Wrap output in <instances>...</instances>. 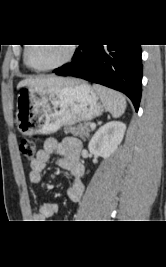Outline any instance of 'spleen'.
Returning <instances> with one entry per match:
<instances>
[{"mask_svg":"<svg viewBox=\"0 0 166 267\" xmlns=\"http://www.w3.org/2000/svg\"><path fill=\"white\" fill-rule=\"evenodd\" d=\"M94 90L100 96L105 108L114 118H118L124 113L127 103L121 93L99 85H94Z\"/></svg>","mask_w":166,"mask_h":267,"instance_id":"3e777b00","label":"spleen"}]
</instances>
